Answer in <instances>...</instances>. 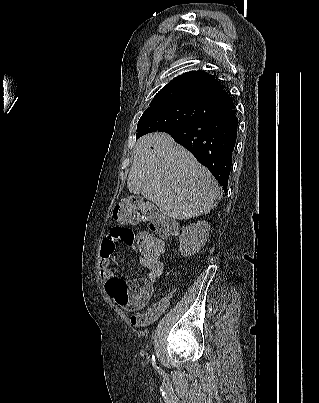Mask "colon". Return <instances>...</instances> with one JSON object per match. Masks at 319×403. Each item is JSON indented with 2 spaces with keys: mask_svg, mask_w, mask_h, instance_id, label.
<instances>
[{
  "mask_svg": "<svg viewBox=\"0 0 319 403\" xmlns=\"http://www.w3.org/2000/svg\"><path fill=\"white\" fill-rule=\"evenodd\" d=\"M140 194L131 192L129 197H120L113 210L116 221L127 224L145 222L149 229H137L134 243H137L140 258H161L167 250L166 240L176 233L175 223L157 210L150 209L149 201H138Z\"/></svg>",
  "mask_w": 319,
  "mask_h": 403,
  "instance_id": "obj_1",
  "label": "colon"
}]
</instances>
